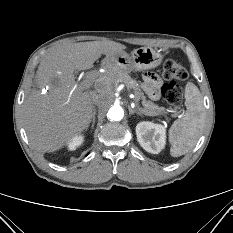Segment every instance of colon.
Here are the masks:
<instances>
[{
    "mask_svg": "<svg viewBox=\"0 0 233 233\" xmlns=\"http://www.w3.org/2000/svg\"><path fill=\"white\" fill-rule=\"evenodd\" d=\"M163 75L168 82L162 86L161 95L168 104L177 106L182 101V89L176 81L187 79L188 72L181 63L169 59L163 65Z\"/></svg>",
    "mask_w": 233,
    "mask_h": 233,
    "instance_id": "1",
    "label": "colon"
}]
</instances>
